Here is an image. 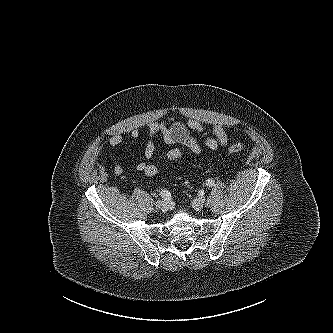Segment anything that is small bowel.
<instances>
[{"instance_id": "1", "label": "small bowel", "mask_w": 333, "mask_h": 333, "mask_svg": "<svg viewBox=\"0 0 333 333\" xmlns=\"http://www.w3.org/2000/svg\"><path fill=\"white\" fill-rule=\"evenodd\" d=\"M191 132L199 134L203 138L205 145L213 151L225 147L228 144V135L220 124H215L213 126V135H210L205 130L204 126L193 118L188 119L186 122L175 121L167 123L165 121H153L148 125L147 141L143 152L144 157L150 159L154 155L156 150L155 138L158 135H161L164 142L169 146L180 144L187 147L193 154L197 156L201 155L202 147ZM138 136L139 131L137 129L130 132V137L132 139H137ZM122 141L123 136L120 133L114 134L109 138V146L111 148H116L122 143ZM146 165L145 162L140 161L136 164V169L144 172ZM114 173L117 176L122 175L123 166L116 163L114 165Z\"/></svg>"}]
</instances>
